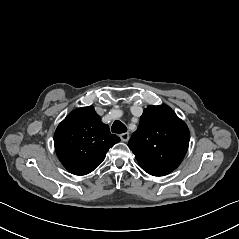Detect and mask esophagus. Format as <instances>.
I'll return each instance as SVG.
<instances>
[{
	"mask_svg": "<svg viewBox=\"0 0 239 239\" xmlns=\"http://www.w3.org/2000/svg\"><path fill=\"white\" fill-rule=\"evenodd\" d=\"M119 137H120V139H121L122 141H128L130 135H129V132H126V133L120 134Z\"/></svg>",
	"mask_w": 239,
	"mask_h": 239,
	"instance_id": "esophagus-1",
	"label": "esophagus"
}]
</instances>
